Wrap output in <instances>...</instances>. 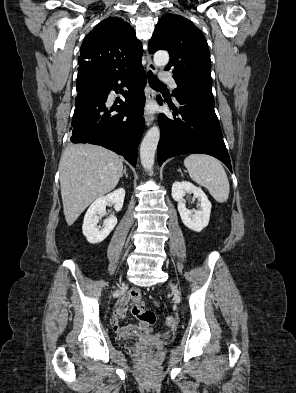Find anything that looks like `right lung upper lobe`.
I'll return each instance as SVG.
<instances>
[{
  "label": "right lung upper lobe",
  "instance_id": "cb5924a9",
  "mask_svg": "<svg viewBox=\"0 0 296 393\" xmlns=\"http://www.w3.org/2000/svg\"><path fill=\"white\" fill-rule=\"evenodd\" d=\"M142 45L130 24L119 17L101 21L83 40L79 68L116 77L142 67Z\"/></svg>",
  "mask_w": 296,
  "mask_h": 393
}]
</instances>
